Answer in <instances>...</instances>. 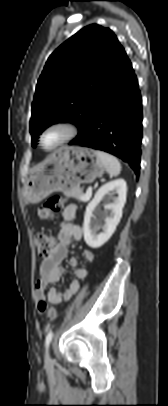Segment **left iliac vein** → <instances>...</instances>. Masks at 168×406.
Wrapping results in <instances>:
<instances>
[{
  "mask_svg": "<svg viewBox=\"0 0 168 406\" xmlns=\"http://www.w3.org/2000/svg\"><path fill=\"white\" fill-rule=\"evenodd\" d=\"M46 362H47L48 364H50V363L52 362V359H51L49 353H47V355H46Z\"/></svg>",
  "mask_w": 168,
  "mask_h": 406,
  "instance_id": "1",
  "label": "left iliac vein"
}]
</instances>
